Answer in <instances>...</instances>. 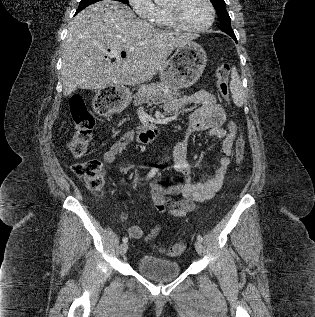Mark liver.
I'll use <instances>...</instances> for the list:
<instances>
[{
  "label": "liver",
  "mask_w": 315,
  "mask_h": 317,
  "mask_svg": "<svg viewBox=\"0 0 315 317\" xmlns=\"http://www.w3.org/2000/svg\"><path fill=\"white\" fill-rule=\"evenodd\" d=\"M195 38L159 30L122 3H95L68 26L62 52L63 94L69 96L77 88L104 89L149 81L175 48ZM122 50L127 53L125 59L120 57ZM109 57L116 60L111 63Z\"/></svg>",
  "instance_id": "liver-1"
}]
</instances>
